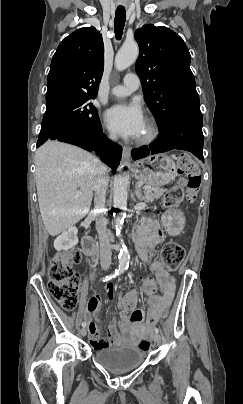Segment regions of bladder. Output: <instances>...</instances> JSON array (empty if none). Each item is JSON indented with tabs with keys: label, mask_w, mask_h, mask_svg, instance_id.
<instances>
[{
	"label": "bladder",
	"mask_w": 243,
	"mask_h": 404,
	"mask_svg": "<svg viewBox=\"0 0 243 404\" xmlns=\"http://www.w3.org/2000/svg\"><path fill=\"white\" fill-rule=\"evenodd\" d=\"M95 361L111 373H125L139 368L146 360L145 353L133 346H122L96 351Z\"/></svg>",
	"instance_id": "1"
}]
</instances>
